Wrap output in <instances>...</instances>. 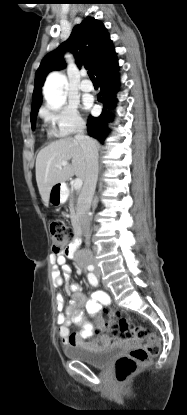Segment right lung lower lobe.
Returning a JSON list of instances; mask_svg holds the SVG:
<instances>
[{"label": "right lung lower lobe", "instance_id": "right-lung-lower-lobe-1", "mask_svg": "<svg viewBox=\"0 0 187 415\" xmlns=\"http://www.w3.org/2000/svg\"><path fill=\"white\" fill-rule=\"evenodd\" d=\"M118 68V60L115 54L109 63L96 75L101 89L98 100L103 103V111L99 117H89L87 131L90 136L98 139L101 143L104 142L109 132L107 123L113 117L109 110L113 109L116 104L115 94L119 86Z\"/></svg>", "mask_w": 187, "mask_h": 415}]
</instances>
